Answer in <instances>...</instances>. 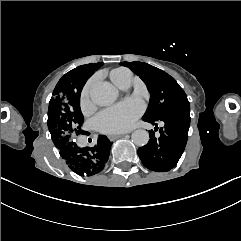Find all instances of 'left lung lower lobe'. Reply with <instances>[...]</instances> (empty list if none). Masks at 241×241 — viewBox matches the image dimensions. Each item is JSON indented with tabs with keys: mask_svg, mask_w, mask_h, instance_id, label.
<instances>
[{
	"mask_svg": "<svg viewBox=\"0 0 241 241\" xmlns=\"http://www.w3.org/2000/svg\"><path fill=\"white\" fill-rule=\"evenodd\" d=\"M151 124L163 121L160 137L156 138L153 130L149 131V142L138 149V155L145 167L157 172L172 169L179 161L185 149L190 126V105L182 106L162 118L144 120Z\"/></svg>",
	"mask_w": 241,
	"mask_h": 241,
	"instance_id": "1",
	"label": "left lung lower lobe"
}]
</instances>
